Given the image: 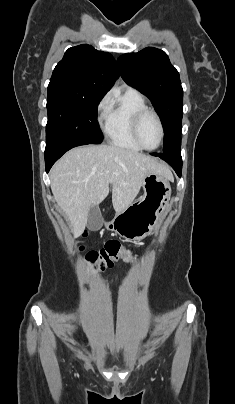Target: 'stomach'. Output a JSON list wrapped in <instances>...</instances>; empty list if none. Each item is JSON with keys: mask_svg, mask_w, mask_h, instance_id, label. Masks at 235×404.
Masks as SVG:
<instances>
[{"mask_svg": "<svg viewBox=\"0 0 235 404\" xmlns=\"http://www.w3.org/2000/svg\"><path fill=\"white\" fill-rule=\"evenodd\" d=\"M143 195L107 223L106 228L127 240H142L159 225L171 196L168 179L152 173L143 182Z\"/></svg>", "mask_w": 235, "mask_h": 404, "instance_id": "stomach-1", "label": "stomach"}]
</instances>
